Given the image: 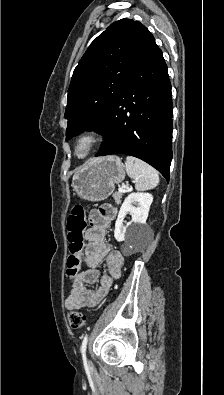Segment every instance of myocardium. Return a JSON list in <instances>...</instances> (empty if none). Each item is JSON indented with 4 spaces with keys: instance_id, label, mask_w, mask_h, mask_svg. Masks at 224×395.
<instances>
[{
    "instance_id": "f54148a6",
    "label": "myocardium",
    "mask_w": 224,
    "mask_h": 395,
    "mask_svg": "<svg viewBox=\"0 0 224 395\" xmlns=\"http://www.w3.org/2000/svg\"><path fill=\"white\" fill-rule=\"evenodd\" d=\"M99 141V134L95 130H87L79 134L74 142V154L79 159L87 158ZM81 143H86L87 149L84 155H78L77 149Z\"/></svg>"
}]
</instances>
